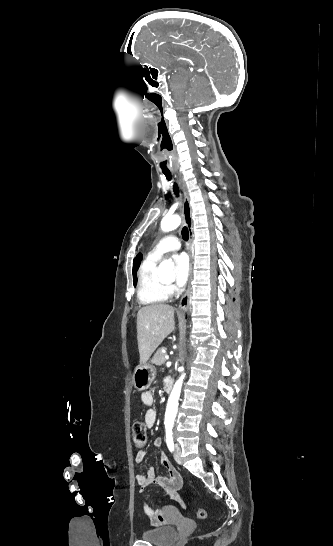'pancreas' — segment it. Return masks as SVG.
Masks as SVG:
<instances>
[{"label":"pancreas","instance_id":"pancreas-1","mask_svg":"<svg viewBox=\"0 0 333 546\" xmlns=\"http://www.w3.org/2000/svg\"><path fill=\"white\" fill-rule=\"evenodd\" d=\"M165 350L166 348H159L157 352L154 354V356L152 357L151 362L158 366H161L162 364H164L166 362Z\"/></svg>","mask_w":333,"mask_h":546}]
</instances>
